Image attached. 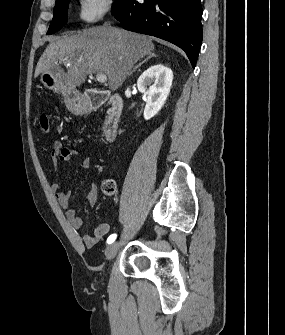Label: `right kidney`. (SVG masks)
Returning a JSON list of instances; mask_svg holds the SVG:
<instances>
[{"instance_id": "ca27d5eb", "label": "right kidney", "mask_w": 285, "mask_h": 335, "mask_svg": "<svg viewBox=\"0 0 285 335\" xmlns=\"http://www.w3.org/2000/svg\"><path fill=\"white\" fill-rule=\"evenodd\" d=\"M172 80V70L165 68L163 64L151 66L138 78L137 88L141 94L147 96V104L143 114L145 120H150L160 112L167 96H169ZM152 82L153 86H150ZM147 86H150V88H147Z\"/></svg>"}]
</instances>
